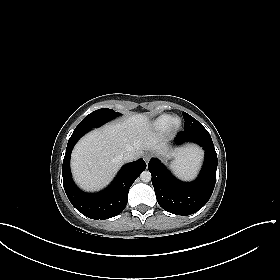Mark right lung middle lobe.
Returning a JSON list of instances; mask_svg holds the SVG:
<instances>
[{
  "instance_id": "dd1d6c3e",
  "label": "right lung middle lobe",
  "mask_w": 280,
  "mask_h": 280,
  "mask_svg": "<svg viewBox=\"0 0 280 280\" xmlns=\"http://www.w3.org/2000/svg\"><path fill=\"white\" fill-rule=\"evenodd\" d=\"M118 112H115L112 109H99L88 116H86L81 123L75 128L73 133L81 131H89L92 128L99 127L106 123L107 121L113 119L116 116H119Z\"/></svg>"
}]
</instances>
